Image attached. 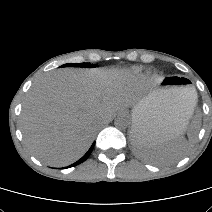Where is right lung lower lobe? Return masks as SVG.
Returning a JSON list of instances; mask_svg holds the SVG:
<instances>
[{"mask_svg":"<svg viewBox=\"0 0 212 212\" xmlns=\"http://www.w3.org/2000/svg\"><path fill=\"white\" fill-rule=\"evenodd\" d=\"M94 144H95V143H93V145L90 147V149L88 150V152H87L80 160H78V161L75 162L74 164L70 165L69 167L76 166V165H78V164L84 162V161L89 157V155L91 154V152H92V150H93V147H94Z\"/></svg>","mask_w":212,"mask_h":212,"instance_id":"98d812e1","label":"right lung lower lobe"}]
</instances>
